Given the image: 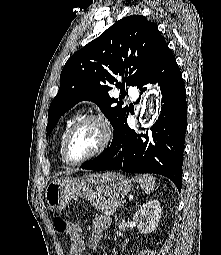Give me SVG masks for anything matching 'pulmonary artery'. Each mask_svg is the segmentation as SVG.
Here are the masks:
<instances>
[{
  "mask_svg": "<svg viewBox=\"0 0 221 255\" xmlns=\"http://www.w3.org/2000/svg\"><path fill=\"white\" fill-rule=\"evenodd\" d=\"M127 90H128V94L132 97V98H136L137 97V90H136V88L134 87V86H131V85H129L128 87H127Z\"/></svg>",
  "mask_w": 221,
  "mask_h": 255,
  "instance_id": "e3ab8cb5",
  "label": "pulmonary artery"
}]
</instances>
